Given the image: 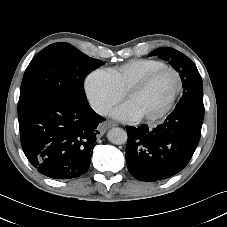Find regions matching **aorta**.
Listing matches in <instances>:
<instances>
[{
	"instance_id": "aorta-1",
	"label": "aorta",
	"mask_w": 227,
	"mask_h": 227,
	"mask_svg": "<svg viewBox=\"0 0 227 227\" xmlns=\"http://www.w3.org/2000/svg\"><path fill=\"white\" fill-rule=\"evenodd\" d=\"M108 140L115 144H124L127 141V133L122 128H112L107 132Z\"/></svg>"
}]
</instances>
